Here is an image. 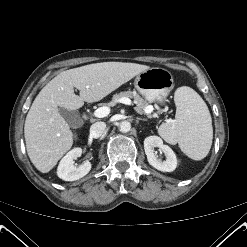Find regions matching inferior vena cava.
Returning a JSON list of instances; mask_svg holds the SVG:
<instances>
[{
    "label": "inferior vena cava",
    "instance_id": "1",
    "mask_svg": "<svg viewBox=\"0 0 247 247\" xmlns=\"http://www.w3.org/2000/svg\"><path fill=\"white\" fill-rule=\"evenodd\" d=\"M106 124L104 122H96L90 127V136L93 138H99L105 131Z\"/></svg>",
    "mask_w": 247,
    "mask_h": 247
}]
</instances>
